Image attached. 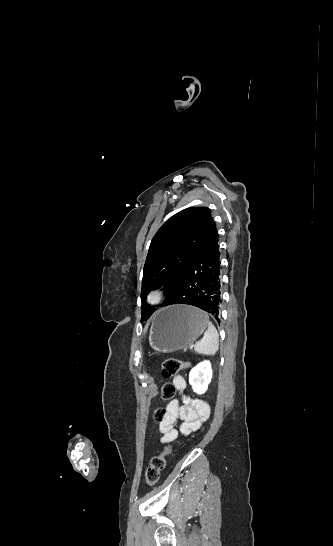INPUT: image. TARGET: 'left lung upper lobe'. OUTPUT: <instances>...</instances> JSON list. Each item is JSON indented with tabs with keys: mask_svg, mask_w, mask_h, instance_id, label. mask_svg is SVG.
<instances>
[{
	"mask_svg": "<svg viewBox=\"0 0 333 546\" xmlns=\"http://www.w3.org/2000/svg\"><path fill=\"white\" fill-rule=\"evenodd\" d=\"M213 223L209 208L190 207L175 214L161 226L151 241L143 270V299L152 289L163 286L167 293L164 304L167 302ZM202 266L200 263L199 272H202ZM145 308L142 320L148 319L153 313L152 309Z\"/></svg>",
	"mask_w": 333,
	"mask_h": 546,
	"instance_id": "5c2ea615",
	"label": "left lung upper lobe"
}]
</instances>
